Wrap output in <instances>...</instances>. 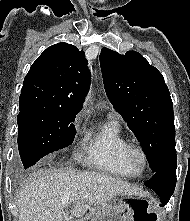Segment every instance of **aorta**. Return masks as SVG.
<instances>
[{"instance_id":"aorta-1","label":"aorta","mask_w":190,"mask_h":221,"mask_svg":"<svg viewBox=\"0 0 190 221\" xmlns=\"http://www.w3.org/2000/svg\"><path fill=\"white\" fill-rule=\"evenodd\" d=\"M90 98H91V94L89 93L87 98H86V101L90 100Z\"/></svg>"}]
</instances>
